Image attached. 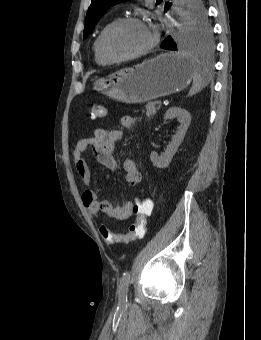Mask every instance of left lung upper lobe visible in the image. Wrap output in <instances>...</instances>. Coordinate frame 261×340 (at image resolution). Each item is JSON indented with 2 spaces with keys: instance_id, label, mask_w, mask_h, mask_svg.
Here are the masks:
<instances>
[{
  "instance_id": "obj_1",
  "label": "left lung upper lobe",
  "mask_w": 261,
  "mask_h": 340,
  "mask_svg": "<svg viewBox=\"0 0 261 340\" xmlns=\"http://www.w3.org/2000/svg\"><path fill=\"white\" fill-rule=\"evenodd\" d=\"M124 1L128 0H92L85 18L83 39L91 33L110 7ZM178 43L179 47L204 51H210L213 48L212 30L201 0H185V21Z\"/></svg>"
}]
</instances>
